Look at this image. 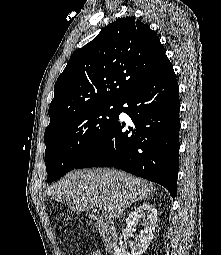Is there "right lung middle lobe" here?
<instances>
[{"mask_svg": "<svg viewBox=\"0 0 221 255\" xmlns=\"http://www.w3.org/2000/svg\"><path fill=\"white\" fill-rule=\"evenodd\" d=\"M119 103H100L77 111L45 131L47 182L74 169L119 116Z\"/></svg>", "mask_w": 221, "mask_h": 255, "instance_id": "dd1d6c3e", "label": "right lung middle lobe"}]
</instances>
